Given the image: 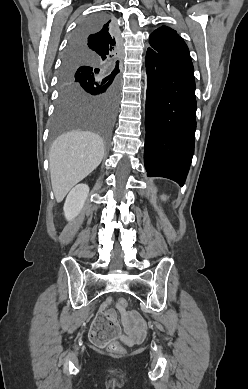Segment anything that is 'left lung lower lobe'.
<instances>
[{
	"mask_svg": "<svg viewBox=\"0 0 248 389\" xmlns=\"http://www.w3.org/2000/svg\"><path fill=\"white\" fill-rule=\"evenodd\" d=\"M147 100L144 164L148 176L183 186L194 153L196 98L188 50L146 54Z\"/></svg>",
	"mask_w": 248,
	"mask_h": 389,
	"instance_id": "left-lung-lower-lobe-1",
	"label": "left lung lower lobe"
}]
</instances>
